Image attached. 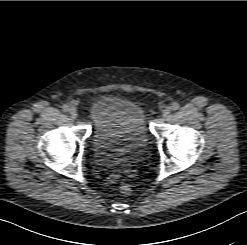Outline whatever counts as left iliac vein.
<instances>
[{
    "label": "left iliac vein",
    "mask_w": 247,
    "mask_h": 245,
    "mask_svg": "<svg viewBox=\"0 0 247 245\" xmlns=\"http://www.w3.org/2000/svg\"><path fill=\"white\" fill-rule=\"evenodd\" d=\"M170 113H171V107L169 106L165 107L164 110L162 111L163 118L168 117Z\"/></svg>",
    "instance_id": "4c4485c4"
}]
</instances>
